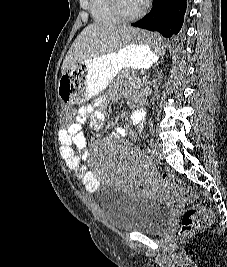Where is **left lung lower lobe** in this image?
I'll use <instances>...</instances> for the list:
<instances>
[{"instance_id":"left-lung-lower-lobe-1","label":"left lung lower lobe","mask_w":227,"mask_h":267,"mask_svg":"<svg viewBox=\"0 0 227 267\" xmlns=\"http://www.w3.org/2000/svg\"><path fill=\"white\" fill-rule=\"evenodd\" d=\"M185 12L186 0H153L151 11L131 25L171 37L180 31Z\"/></svg>"}]
</instances>
